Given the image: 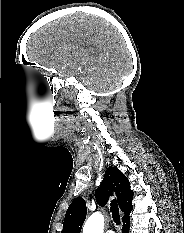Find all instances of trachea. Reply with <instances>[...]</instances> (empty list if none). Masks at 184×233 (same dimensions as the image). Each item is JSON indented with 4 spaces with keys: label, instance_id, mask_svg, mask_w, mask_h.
<instances>
[{
    "label": "trachea",
    "instance_id": "trachea-1",
    "mask_svg": "<svg viewBox=\"0 0 184 233\" xmlns=\"http://www.w3.org/2000/svg\"><path fill=\"white\" fill-rule=\"evenodd\" d=\"M110 211L112 213V218L116 225L120 224V214H119V207L117 204L116 199H113L110 203Z\"/></svg>",
    "mask_w": 184,
    "mask_h": 233
}]
</instances>
